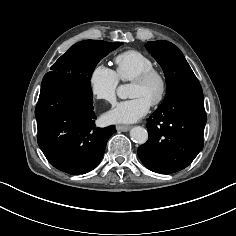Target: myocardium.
Listing matches in <instances>:
<instances>
[{"instance_id":"1","label":"myocardium","mask_w":236,"mask_h":236,"mask_svg":"<svg viewBox=\"0 0 236 236\" xmlns=\"http://www.w3.org/2000/svg\"><path fill=\"white\" fill-rule=\"evenodd\" d=\"M152 79H157L160 84V90L156 98L150 103L151 106H157L163 102L168 91V79L166 74L156 67H152L144 70L138 74L133 80L132 83L145 84L151 81Z\"/></svg>"}]
</instances>
